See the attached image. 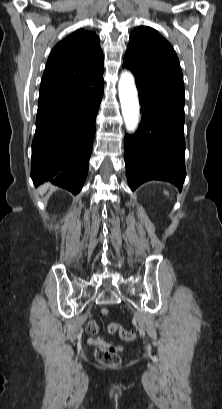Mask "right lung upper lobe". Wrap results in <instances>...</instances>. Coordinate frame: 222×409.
<instances>
[{
    "mask_svg": "<svg viewBox=\"0 0 222 409\" xmlns=\"http://www.w3.org/2000/svg\"><path fill=\"white\" fill-rule=\"evenodd\" d=\"M103 53L98 36L80 29L60 41L49 55L40 86L39 103L85 90L90 77L102 74Z\"/></svg>",
    "mask_w": 222,
    "mask_h": 409,
    "instance_id": "1",
    "label": "right lung upper lobe"
}]
</instances>
